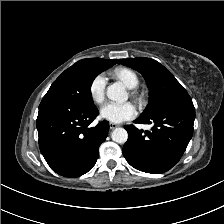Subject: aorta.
<instances>
[{
	"instance_id": "762f6f07",
	"label": "aorta",
	"mask_w": 224,
	"mask_h": 224,
	"mask_svg": "<svg viewBox=\"0 0 224 224\" xmlns=\"http://www.w3.org/2000/svg\"><path fill=\"white\" fill-rule=\"evenodd\" d=\"M106 94L109 99L118 102H125L128 99L125 87L119 82L109 85ZM111 138L116 143L124 144L128 139V133L124 128H115L111 134Z\"/></svg>"
}]
</instances>
